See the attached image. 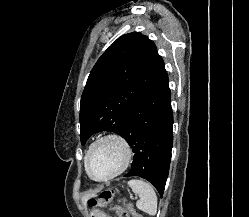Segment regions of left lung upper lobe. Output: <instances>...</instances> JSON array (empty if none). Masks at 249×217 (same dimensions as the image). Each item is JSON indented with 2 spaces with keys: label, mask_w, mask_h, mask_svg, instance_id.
Wrapping results in <instances>:
<instances>
[{
  "label": "left lung upper lobe",
  "mask_w": 249,
  "mask_h": 217,
  "mask_svg": "<svg viewBox=\"0 0 249 217\" xmlns=\"http://www.w3.org/2000/svg\"><path fill=\"white\" fill-rule=\"evenodd\" d=\"M164 69L148 37L133 32L118 38L94 65L83 91L81 143L99 131L122 136L129 112Z\"/></svg>",
  "instance_id": "obj_1"
}]
</instances>
